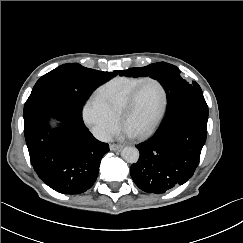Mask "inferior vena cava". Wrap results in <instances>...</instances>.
<instances>
[{
	"instance_id": "602c4592",
	"label": "inferior vena cava",
	"mask_w": 243,
	"mask_h": 243,
	"mask_svg": "<svg viewBox=\"0 0 243 243\" xmlns=\"http://www.w3.org/2000/svg\"><path fill=\"white\" fill-rule=\"evenodd\" d=\"M91 133L93 136L103 142H110L112 140V135L110 131L101 127V126H93L91 128Z\"/></svg>"
}]
</instances>
